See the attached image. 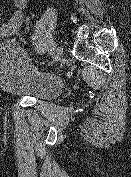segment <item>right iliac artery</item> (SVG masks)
Wrapping results in <instances>:
<instances>
[{"label": "right iliac artery", "instance_id": "1", "mask_svg": "<svg viewBox=\"0 0 131 177\" xmlns=\"http://www.w3.org/2000/svg\"><path fill=\"white\" fill-rule=\"evenodd\" d=\"M48 52H49V54H54V53H55V48H50V49L48 50Z\"/></svg>", "mask_w": 131, "mask_h": 177}]
</instances>
